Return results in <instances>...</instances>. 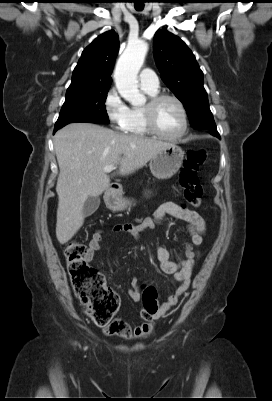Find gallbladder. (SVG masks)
Returning <instances> with one entry per match:
<instances>
[{"instance_id": "obj_1", "label": "gallbladder", "mask_w": 272, "mask_h": 401, "mask_svg": "<svg viewBox=\"0 0 272 401\" xmlns=\"http://www.w3.org/2000/svg\"><path fill=\"white\" fill-rule=\"evenodd\" d=\"M100 205V198L98 196H89L83 206V215H92Z\"/></svg>"}]
</instances>
